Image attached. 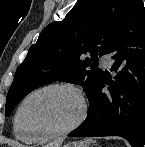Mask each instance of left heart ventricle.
I'll return each instance as SVG.
<instances>
[{"label":"left heart ventricle","mask_w":145,"mask_h":147,"mask_svg":"<svg viewBox=\"0 0 145 147\" xmlns=\"http://www.w3.org/2000/svg\"><path fill=\"white\" fill-rule=\"evenodd\" d=\"M80 107L79 99L71 91H44L33 96L24 106L22 125L31 134L57 131L77 118Z\"/></svg>","instance_id":"left-heart-ventricle-1"}]
</instances>
